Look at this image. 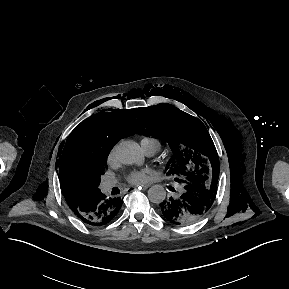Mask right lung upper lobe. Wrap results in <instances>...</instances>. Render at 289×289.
<instances>
[{
    "mask_svg": "<svg viewBox=\"0 0 289 289\" xmlns=\"http://www.w3.org/2000/svg\"><path fill=\"white\" fill-rule=\"evenodd\" d=\"M133 111L117 109L97 113L81 122L63 144L56 165L61 188L70 208L84 202L97 191L87 187L84 178L102 154H109L120 138L135 132Z\"/></svg>",
    "mask_w": 289,
    "mask_h": 289,
    "instance_id": "right-lung-upper-lobe-1",
    "label": "right lung upper lobe"
}]
</instances>
